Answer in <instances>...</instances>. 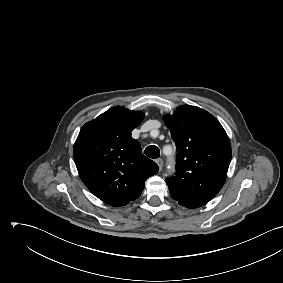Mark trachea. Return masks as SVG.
Returning a JSON list of instances; mask_svg holds the SVG:
<instances>
[{
    "label": "trachea",
    "instance_id": "trachea-1",
    "mask_svg": "<svg viewBox=\"0 0 283 283\" xmlns=\"http://www.w3.org/2000/svg\"><path fill=\"white\" fill-rule=\"evenodd\" d=\"M144 154L149 158L156 159L160 155L159 148L155 145H150L144 150Z\"/></svg>",
    "mask_w": 283,
    "mask_h": 283
}]
</instances>
